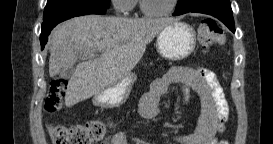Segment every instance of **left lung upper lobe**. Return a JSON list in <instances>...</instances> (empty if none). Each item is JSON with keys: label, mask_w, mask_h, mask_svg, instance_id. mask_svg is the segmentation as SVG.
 <instances>
[{"label": "left lung upper lobe", "mask_w": 273, "mask_h": 144, "mask_svg": "<svg viewBox=\"0 0 273 144\" xmlns=\"http://www.w3.org/2000/svg\"><path fill=\"white\" fill-rule=\"evenodd\" d=\"M190 1H191V0H179V1H178V4H177V6H176V10H181V9H183L186 5L189 4Z\"/></svg>", "instance_id": "obj_1"}]
</instances>
